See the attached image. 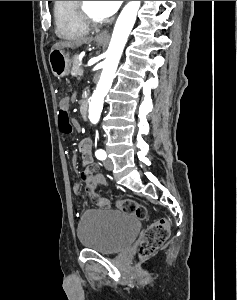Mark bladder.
I'll return each instance as SVG.
<instances>
[{
	"label": "bladder",
	"mask_w": 237,
	"mask_h": 300,
	"mask_svg": "<svg viewBox=\"0 0 237 300\" xmlns=\"http://www.w3.org/2000/svg\"><path fill=\"white\" fill-rule=\"evenodd\" d=\"M140 229V221L130 214L116 210H92L81 217L77 238L84 248L111 255L127 249Z\"/></svg>",
	"instance_id": "31cf9c89"
}]
</instances>
